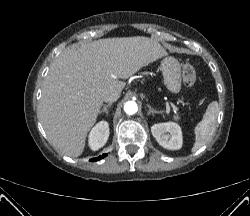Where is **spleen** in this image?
<instances>
[{
  "instance_id": "obj_1",
  "label": "spleen",
  "mask_w": 250,
  "mask_h": 216,
  "mask_svg": "<svg viewBox=\"0 0 250 216\" xmlns=\"http://www.w3.org/2000/svg\"><path fill=\"white\" fill-rule=\"evenodd\" d=\"M219 113V104L217 101L211 102L200 121L194 128L195 143L192 147V152H196L202 146H204L211 136L214 134L216 129V121Z\"/></svg>"
}]
</instances>
